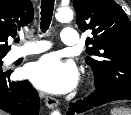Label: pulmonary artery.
Returning a JSON list of instances; mask_svg holds the SVG:
<instances>
[{"instance_id": "e3ab8cb5", "label": "pulmonary artery", "mask_w": 131, "mask_h": 115, "mask_svg": "<svg viewBox=\"0 0 131 115\" xmlns=\"http://www.w3.org/2000/svg\"><path fill=\"white\" fill-rule=\"evenodd\" d=\"M61 40L65 45L76 46L79 42V35L75 28L65 27L61 32ZM49 48V45L43 42H31L25 48L16 50L13 53L15 59L27 56L30 54L40 53Z\"/></svg>"}]
</instances>
